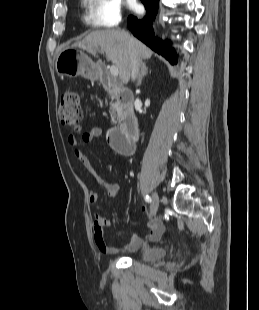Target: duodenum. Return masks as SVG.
<instances>
[{
    "label": "duodenum",
    "instance_id": "410a0bca",
    "mask_svg": "<svg viewBox=\"0 0 259 310\" xmlns=\"http://www.w3.org/2000/svg\"><path fill=\"white\" fill-rule=\"evenodd\" d=\"M97 77L103 87L114 97L118 106V126L107 134L111 145L121 154L130 155L134 152L138 137L137 121L133 109V94L119 87L107 76L103 67L97 69Z\"/></svg>",
    "mask_w": 259,
    "mask_h": 310
}]
</instances>
